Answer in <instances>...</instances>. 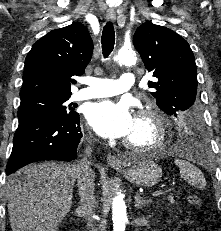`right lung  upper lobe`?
<instances>
[{
  "label": "right lung upper lobe",
  "mask_w": 221,
  "mask_h": 231,
  "mask_svg": "<svg viewBox=\"0 0 221 231\" xmlns=\"http://www.w3.org/2000/svg\"><path fill=\"white\" fill-rule=\"evenodd\" d=\"M93 42L87 28L73 23L39 39L25 59L20 98L71 96V79L82 75L90 62Z\"/></svg>",
  "instance_id": "right-lung-upper-lobe-1"
}]
</instances>
